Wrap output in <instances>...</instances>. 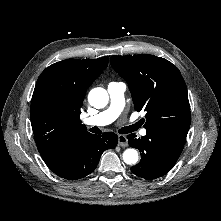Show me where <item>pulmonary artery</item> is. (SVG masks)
I'll return each mask as SVG.
<instances>
[{
    "label": "pulmonary artery",
    "mask_w": 221,
    "mask_h": 221,
    "mask_svg": "<svg viewBox=\"0 0 221 221\" xmlns=\"http://www.w3.org/2000/svg\"><path fill=\"white\" fill-rule=\"evenodd\" d=\"M107 91L110 97L109 107L97 115L84 119V124L101 127L112 123L120 115L125 102L126 84L123 82H111L107 87ZM140 134L145 136L147 134L146 129H141Z\"/></svg>",
    "instance_id": "e3ab8cb5"
}]
</instances>
